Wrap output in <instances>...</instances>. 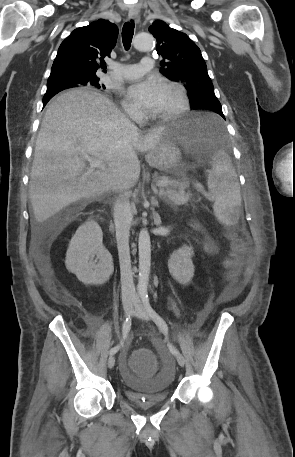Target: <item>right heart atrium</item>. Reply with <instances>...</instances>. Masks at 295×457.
<instances>
[{
    "label": "right heart atrium",
    "mask_w": 295,
    "mask_h": 457,
    "mask_svg": "<svg viewBox=\"0 0 295 457\" xmlns=\"http://www.w3.org/2000/svg\"><path fill=\"white\" fill-rule=\"evenodd\" d=\"M123 108L127 115L135 120H140L143 117V111L128 101H123Z\"/></svg>",
    "instance_id": "obj_1"
}]
</instances>
